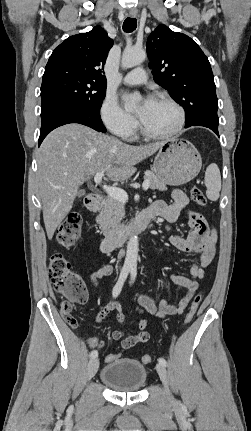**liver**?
Masks as SVG:
<instances>
[{
  "label": "liver",
  "instance_id": "liver-1",
  "mask_svg": "<svg viewBox=\"0 0 251 431\" xmlns=\"http://www.w3.org/2000/svg\"><path fill=\"white\" fill-rule=\"evenodd\" d=\"M162 144L128 145L78 123L53 130L37 152L36 184L48 239L72 209L86 180L103 172L112 181H124L135 173L134 165Z\"/></svg>",
  "mask_w": 251,
  "mask_h": 431
}]
</instances>
